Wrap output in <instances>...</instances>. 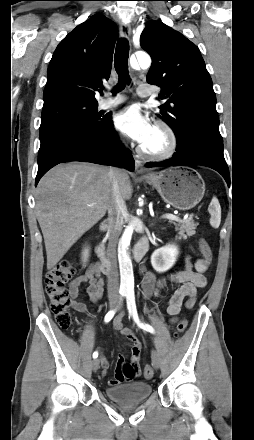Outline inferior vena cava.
I'll return each mask as SVG.
<instances>
[{
	"label": "inferior vena cava",
	"mask_w": 254,
	"mask_h": 440,
	"mask_svg": "<svg viewBox=\"0 0 254 440\" xmlns=\"http://www.w3.org/2000/svg\"><path fill=\"white\" fill-rule=\"evenodd\" d=\"M108 175L111 183L112 198L108 209L110 217L108 256L111 261V270L108 275L107 290L109 295L118 296L119 274L116 265V246L123 227L127 208L120 192L119 169L110 168Z\"/></svg>",
	"instance_id": "obj_1"
}]
</instances>
